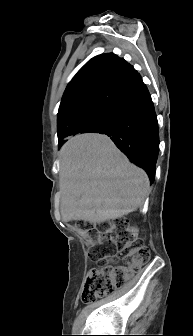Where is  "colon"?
Returning a JSON list of instances; mask_svg holds the SVG:
<instances>
[{"mask_svg": "<svg viewBox=\"0 0 193 336\" xmlns=\"http://www.w3.org/2000/svg\"><path fill=\"white\" fill-rule=\"evenodd\" d=\"M127 223L116 219L111 224H103L95 229L103 255L116 256L124 261L121 265H105L91 269L81 293L83 303H92L98 298L123 287L150 257V250L139 239L127 231ZM93 231L91 227H87Z\"/></svg>", "mask_w": 193, "mask_h": 336, "instance_id": "5ec220e1", "label": "colon"}]
</instances>
